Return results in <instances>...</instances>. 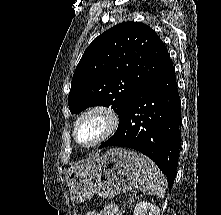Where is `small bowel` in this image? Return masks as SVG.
<instances>
[{
	"instance_id": "1",
	"label": "small bowel",
	"mask_w": 221,
	"mask_h": 215,
	"mask_svg": "<svg viewBox=\"0 0 221 215\" xmlns=\"http://www.w3.org/2000/svg\"><path fill=\"white\" fill-rule=\"evenodd\" d=\"M85 215H123L115 205H107L98 211H88Z\"/></svg>"
}]
</instances>
